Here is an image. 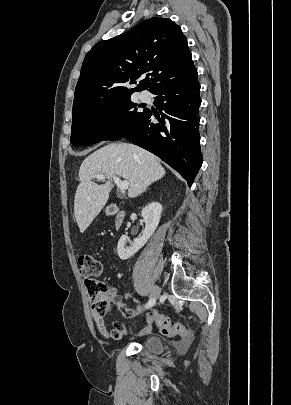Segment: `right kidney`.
<instances>
[{
  "label": "right kidney",
  "mask_w": 291,
  "mask_h": 405,
  "mask_svg": "<svg viewBox=\"0 0 291 405\" xmlns=\"http://www.w3.org/2000/svg\"><path fill=\"white\" fill-rule=\"evenodd\" d=\"M162 213V205L158 202H152L143 208L141 214L145 222V228L139 238L130 242L129 238L125 235L121 236L117 245V253L121 260H126L138 252L152 236L158 227ZM127 242L130 246H127Z\"/></svg>",
  "instance_id": "right-kidney-1"
}]
</instances>
